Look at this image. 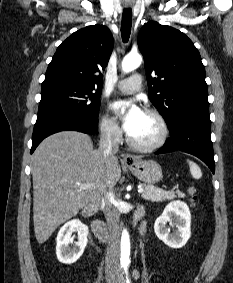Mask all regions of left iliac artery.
<instances>
[{
	"instance_id": "1",
	"label": "left iliac artery",
	"mask_w": 233,
	"mask_h": 283,
	"mask_svg": "<svg viewBox=\"0 0 233 283\" xmlns=\"http://www.w3.org/2000/svg\"><path fill=\"white\" fill-rule=\"evenodd\" d=\"M125 275H126V283H131L129 275H128V268L125 267Z\"/></svg>"
}]
</instances>
